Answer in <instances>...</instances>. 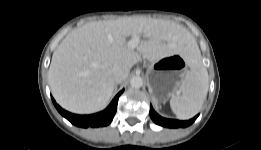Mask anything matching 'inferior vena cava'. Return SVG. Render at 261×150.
Listing matches in <instances>:
<instances>
[{
	"mask_svg": "<svg viewBox=\"0 0 261 150\" xmlns=\"http://www.w3.org/2000/svg\"><path fill=\"white\" fill-rule=\"evenodd\" d=\"M130 69L125 66H114L112 69V78L116 83L124 81L129 75Z\"/></svg>",
	"mask_w": 261,
	"mask_h": 150,
	"instance_id": "inferior-vena-cava-1",
	"label": "inferior vena cava"
}]
</instances>
